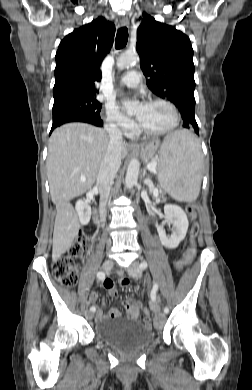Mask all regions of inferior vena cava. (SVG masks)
<instances>
[{
  "label": "inferior vena cava",
  "instance_id": "602c4592",
  "mask_svg": "<svg viewBox=\"0 0 252 390\" xmlns=\"http://www.w3.org/2000/svg\"><path fill=\"white\" fill-rule=\"evenodd\" d=\"M105 131L109 136L106 154L101 162L96 186L100 194V209L105 212L111 185L121 165V151L123 147L122 132L114 124H107Z\"/></svg>",
  "mask_w": 252,
  "mask_h": 390
}]
</instances>
